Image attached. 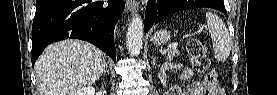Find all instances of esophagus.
<instances>
[{"label": "esophagus", "instance_id": "esophagus-1", "mask_svg": "<svg viewBox=\"0 0 277 95\" xmlns=\"http://www.w3.org/2000/svg\"><path fill=\"white\" fill-rule=\"evenodd\" d=\"M125 7L127 10L131 11L132 13H135L139 10V2L135 0H127Z\"/></svg>", "mask_w": 277, "mask_h": 95}]
</instances>
